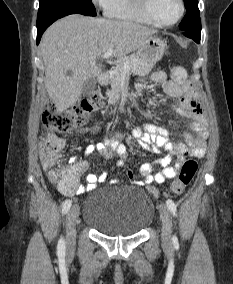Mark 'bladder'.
<instances>
[{"instance_id": "bladder-1", "label": "bladder", "mask_w": 233, "mask_h": 284, "mask_svg": "<svg viewBox=\"0 0 233 284\" xmlns=\"http://www.w3.org/2000/svg\"><path fill=\"white\" fill-rule=\"evenodd\" d=\"M154 214V204L145 191L125 187L90 194L85 201L83 221L107 236H132L146 230Z\"/></svg>"}]
</instances>
